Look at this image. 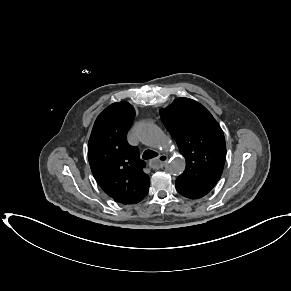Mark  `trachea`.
I'll list each match as a JSON object with an SVG mask.
<instances>
[{"instance_id":"3493384b","label":"trachea","mask_w":291,"mask_h":291,"mask_svg":"<svg viewBox=\"0 0 291 291\" xmlns=\"http://www.w3.org/2000/svg\"><path fill=\"white\" fill-rule=\"evenodd\" d=\"M158 154L152 150H146L144 153H143V159H151V158H154L156 157Z\"/></svg>"}]
</instances>
